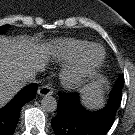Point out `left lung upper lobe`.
Instances as JSON below:
<instances>
[{
	"instance_id": "1",
	"label": "left lung upper lobe",
	"mask_w": 135,
	"mask_h": 135,
	"mask_svg": "<svg viewBox=\"0 0 135 135\" xmlns=\"http://www.w3.org/2000/svg\"><path fill=\"white\" fill-rule=\"evenodd\" d=\"M121 79H122V80L124 79L123 74L119 76V78H118V80H117V81H120Z\"/></svg>"
}]
</instances>
